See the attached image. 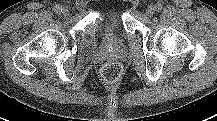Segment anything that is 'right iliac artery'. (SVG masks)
<instances>
[{
  "mask_svg": "<svg viewBox=\"0 0 217 121\" xmlns=\"http://www.w3.org/2000/svg\"><path fill=\"white\" fill-rule=\"evenodd\" d=\"M54 10L57 14H60L62 12V6L56 5Z\"/></svg>",
  "mask_w": 217,
  "mask_h": 121,
  "instance_id": "right-iliac-artery-1",
  "label": "right iliac artery"
}]
</instances>
